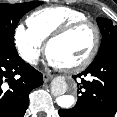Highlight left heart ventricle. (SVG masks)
<instances>
[{
	"label": "left heart ventricle",
	"mask_w": 117,
	"mask_h": 117,
	"mask_svg": "<svg viewBox=\"0 0 117 117\" xmlns=\"http://www.w3.org/2000/svg\"><path fill=\"white\" fill-rule=\"evenodd\" d=\"M94 43L91 27H83L67 37L54 42L49 49V57L63 67L72 66L90 53Z\"/></svg>",
	"instance_id": "obj_1"
}]
</instances>
